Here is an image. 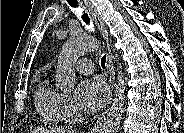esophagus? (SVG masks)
I'll return each mask as SVG.
<instances>
[{
	"instance_id": "obj_1",
	"label": "esophagus",
	"mask_w": 184,
	"mask_h": 133,
	"mask_svg": "<svg viewBox=\"0 0 184 133\" xmlns=\"http://www.w3.org/2000/svg\"><path fill=\"white\" fill-rule=\"evenodd\" d=\"M84 7L90 13L93 21L95 22L96 26L98 27L99 31L101 32L102 36L104 37V39L107 42L108 53H107L106 61H107V68H108L109 73H110L109 81L111 83V91H110V101H111L113 83H114V79H115V72H114V68H113V64H112V55H111V51H110V45L108 43V33H107V30L104 26L103 21L99 17L96 9L93 7L91 2L90 1H84ZM110 101H109V104H110ZM108 110H109V105H108L107 109L102 113V115L98 118L97 122L95 123V125L92 129L93 132H98L100 130L101 126L103 125V123L106 119V114H107Z\"/></svg>"
}]
</instances>
